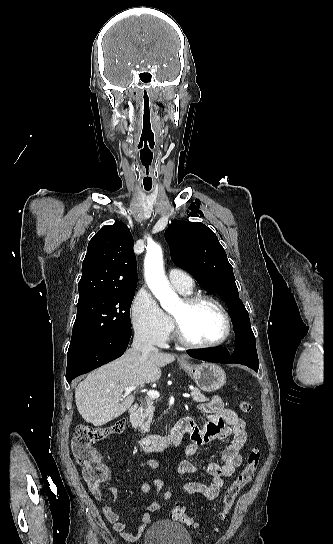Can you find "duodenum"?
I'll return each mask as SVG.
<instances>
[{"mask_svg":"<svg viewBox=\"0 0 333 544\" xmlns=\"http://www.w3.org/2000/svg\"><path fill=\"white\" fill-rule=\"evenodd\" d=\"M138 405L133 404L129 408V417L134 420L137 415ZM186 434V427L184 424V419L178 421L171 432L167 436L159 435H148L141 436L138 439V444L142 452L151 453V452H162L170 448L176 447L182 440L183 436Z\"/></svg>","mask_w":333,"mask_h":544,"instance_id":"1","label":"duodenum"}]
</instances>
